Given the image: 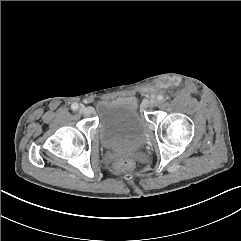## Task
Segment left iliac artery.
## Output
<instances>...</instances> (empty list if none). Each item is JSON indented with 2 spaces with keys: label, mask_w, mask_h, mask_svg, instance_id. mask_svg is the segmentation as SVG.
Instances as JSON below:
<instances>
[{
  "label": "left iliac artery",
  "mask_w": 241,
  "mask_h": 241,
  "mask_svg": "<svg viewBox=\"0 0 241 241\" xmlns=\"http://www.w3.org/2000/svg\"><path fill=\"white\" fill-rule=\"evenodd\" d=\"M157 99H158L159 101H162V100H163V96H162V95H158V96H157Z\"/></svg>",
  "instance_id": "left-iliac-artery-1"
}]
</instances>
